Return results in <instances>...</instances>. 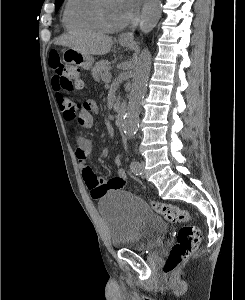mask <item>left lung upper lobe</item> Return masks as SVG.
<instances>
[{
	"instance_id": "left-lung-upper-lobe-1",
	"label": "left lung upper lobe",
	"mask_w": 245,
	"mask_h": 300,
	"mask_svg": "<svg viewBox=\"0 0 245 300\" xmlns=\"http://www.w3.org/2000/svg\"><path fill=\"white\" fill-rule=\"evenodd\" d=\"M63 1L64 0H56V7H55L56 10L59 9V7L61 6V4H62Z\"/></svg>"
}]
</instances>
